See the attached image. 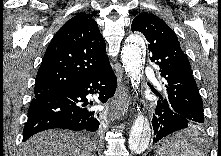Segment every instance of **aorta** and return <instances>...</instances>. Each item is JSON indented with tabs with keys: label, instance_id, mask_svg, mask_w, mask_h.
I'll return each instance as SVG.
<instances>
[{
	"label": "aorta",
	"instance_id": "762f6f07",
	"mask_svg": "<svg viewBox=\"0 0 221 156\" xmlns=\"http://www.w3.org/2000/svg\"><path fill=\"white\" fill-rule=\"evenodd\" d=\"M144 57V40L140 35H131L122 48L121 58L126 74L133 87H138L142 76ZM151 128L139 113L133 122L129 134V149L133 152L144 151L150 142Z\"/></svg>",
	"mask_w": 221,
	"mask_h": 156
}]
</instances>
